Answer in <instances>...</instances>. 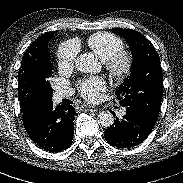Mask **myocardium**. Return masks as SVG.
Wrapping results in <instances>:
<instances>
[{
  "instance_id": "1",
  "label": "myocardium",
  "mask_w": 183,
  "mask_h": 183,
  "mask_svg": "<svg viewBox=\"0 0 183 183\" xmlns=\"http://www.w3.org/2000/svg\"><path fill=\"white\" fill-rule=\"evenodd\" d=\"M134 58L130 51L121 49L104 60V65L110 76L116 80L126 79L132 72Z\"/></svg>"
}]
</instances>
